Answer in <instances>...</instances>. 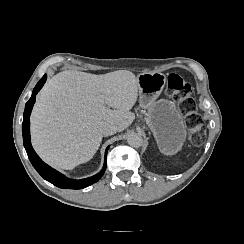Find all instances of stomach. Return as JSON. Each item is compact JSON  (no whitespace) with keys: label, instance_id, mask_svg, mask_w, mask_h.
Returning <instances> with one entry per match:
<instances>
[{"label":"stomach","instance_id":"stomach-1","mask_svg":"<svg viewBox=\"0 0 244 244\" xmlns=\"http://www.w3.org/2000/svg\"><path fill=\"white\" fill-rule=\"evenodd\" d=\"M139 103L147 109V122L165 155H174L182 149L186 140L185 121L175 104L166 99L157 100L166 76L160 72H145L137 75Z\"/></svg>","mask_w":244,"mask_h":244}]
</instances>
